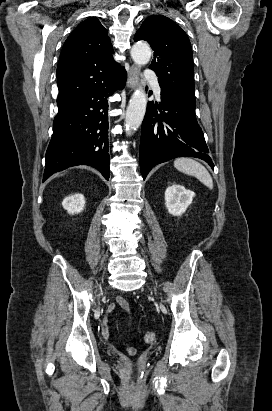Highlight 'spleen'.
<instances>
[{"mask_svg":"<svg viewBox=\"0 0 272 411\" xmlns=\"http://www.w3.org/2000/svg\"><path fill=\"white\" fill-rule=\"evenodd\" d=\"M174 167L184 174L196 177L206 187L213 189V179L208 170L194 159L186 157L177 158L174 161Z\"/></svg>","mask_w":272,"mask_h":411,"instance_id":"spleen-1","label":"spleen"}]
</instances>
